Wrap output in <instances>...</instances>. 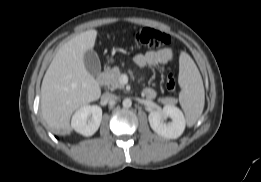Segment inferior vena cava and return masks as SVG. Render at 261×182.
Returning a JSON list of instances; mask_svg holds the SVG:
<instances>
[{
	"mask_svg": "<svg viewBox=\"0 0 261 182\" xmlns=\"http://www.w3.org/2000/svg\"><path fill=\"white\" fill-rule=\"evenodd\" d=\"M102 100L105 102H114L117 100V96L112 93H104L102 95Z\"/></svg>",
	"mask_w": 261,
	"mask_h": 182,
	"instance_id": "602c4592",
	"label": "inferior vena cava"
}]
</instances>
